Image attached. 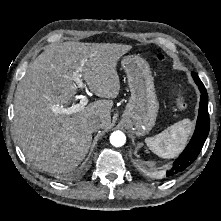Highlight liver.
Instances as JSON below:
<instances>
[{
    "label": "liver",
    "mask_w": 221,
    "mask_h": 221,
    "mask_svg": "<svg viewBox=\"0 0 221 221\" xmlns=\"http://www.w3.org/2000/svg\"><path fill=\"white\" fill-rule=\"evenodd\" d=\"M131 48L68 41L46 48L29 65L15 93L14 130L22 151L36 167L66 173L85 158L92 141L88 121L99 118L101 128L110 126V99L120 90L117 62ZM80 67L89 89L108 100L92 102L71 115L54 112V106L64 107L77 93L72 73Z\"/></svg>",
    "instance_id": "obj_1"
}]
</instances>
